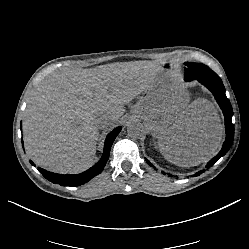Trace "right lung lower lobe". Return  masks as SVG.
Here are the masks:
<instances>
[{"instance_id":"1","label":"right lung lower lobe","mask_w":249,"mask_h":249,"mask_svg":"<svg viewBox=\"0 0 249 249\" xmlns=\"http://www.w3.org/2000/svg\"><path fill=\"white\" fill-rule=\"evenodd\" d=\"M20 128H22L21 124H20ZM120 131H121V127H117L116 129H114L112 132H110L108 134V136L106 137V140H105L104 152H103L101 159L93 167H91L89 170H87L81 174L62 175V174H56V173L46 171L45 169H42V168H38V169L42 173V175L46 179L51 181L52 183L60 184L62 186L82 185L102 172V170L104 169V167L107 163V160L109 158V153H110L112 143ZM30 162H31V164H33L32 161H30Z\"/></svg>"}]
</instances>
